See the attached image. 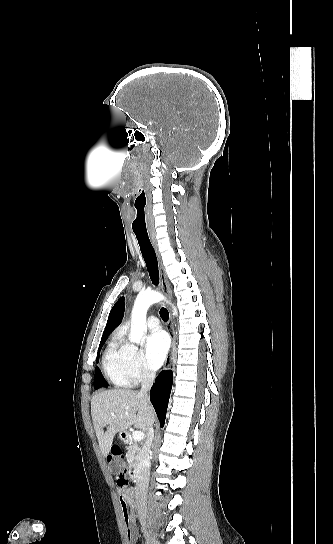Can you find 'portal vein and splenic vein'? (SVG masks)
<instances>
[{
	"instance_id": "portal-vein-and-splenic-vein-1",
	"label": "portal vein and splenic vein",
	"mask_w": 333,
	"mask_h": 544,
	"mask_svg": "<svg viewBox=\"0 0 333 544\" xmlns=\"http://www.w3.org/2000/svg\"><path fill=\"white\" fill-rule=\"evenodd\" d=\"M143 437H144L143 431L138 430V431H134V432L132 433V438H133L135 441H141V440L143 439Z\"/></svg>"
}]
</instances>
